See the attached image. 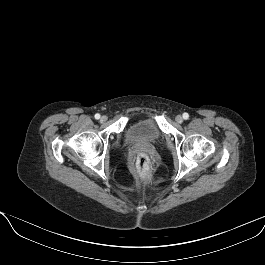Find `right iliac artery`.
Returning <instances> with one entry per match:
<instances>
[{
  "label": "right iliac artery",
  "instance_id": "obj_1",
  "mask_svg": "<svg viewBox=\"0 0 265 265\" xmlns=\"http://www.w3.org/2000/svg\"><path fill=\"white\" fill-rule=\"evenodd\" d=\"M100 118V114H95V119H99Z\"/></svg>",
  "mask_w": 265,
  "mask_h": 265
}]
</instances>
